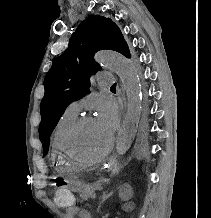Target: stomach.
Masks as SVG:
<instances>
[{
  "mask_svg": "<svg viewBox=\"0 0 211 218\" xmlns=\"http://www.w3.org/2000/svg\"><path fill=\"white\" fill-rule=\"evenodd\" d=\"M65 183L70 190L75 192L81 191L84 186L83 182L80 181L76 175L67 176Z\"/></svg>",
  "mask_w": 211,
  "mask_h": 218,
  "instance_id": "stomach-1",
  "label": "stomach"
}]
</instances>
